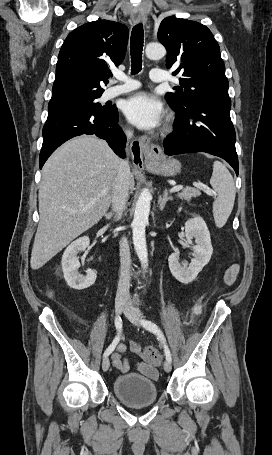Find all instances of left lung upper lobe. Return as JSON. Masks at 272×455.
Returning <instances> with one entry per match:
<instances>
[{
	"mask_svg": "<svg viewBox=\"0 0 272 455\" xmlns=\"http://www.w3.org/2000/svg\"><path fill=\"white\" fill-rule=\"evenodd\" d=\"M158 39L167 49L166 66L182 74L176 92H168V104L179 111L205 98H229L225 65L211 31L187 19L162 20Z\"/></svg>",
	"mask_w": 272,
	"mask_h": 455,
	"instance_id": "left-lung-upper-lobe-1",
	"label": "left lung upper lobe"
}]
</instances>
